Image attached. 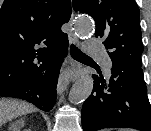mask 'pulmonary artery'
<instances>
[{
  "label": "pulmonary artery",
  "instance_id": "pulmonary-artery-1",
  "mask_svg": "<svg viewBox=\"0 0 151 131\" xmlns=\"http://www.w3.org/2000/svg\"><path fill=\"white\" fill-rule=\"evenodd\" d=\"M87 51L90 54L96 55L100 58L103 68L106 74L110 73L112 62L110 58L106 55L101 45L95 40H91L88 42Z\"/></svg>",
  "mask_w": 151,
  "mask_h": 131
}]
</instances>
